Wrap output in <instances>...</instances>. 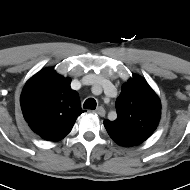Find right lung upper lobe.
Segmentation results:
<instances>
[{"mask_svg":"<svg viewBox=\"0 0 190 190\" xmlns=\"http://www.w3.org/2000/svg\"><path fill=\"white\" fill-rule=\"evenodd\" d=\"M70 82V78L57 75L53 68H45L23 89L21 108L24 118L45 140H61L84 112L78 93L70 88Z\"/></svg>","mask_w":190,"mask_h":190,"instance_id":"right-lung-upper-lobe-1","label":"right lung upper lobe"}]
</instances>
